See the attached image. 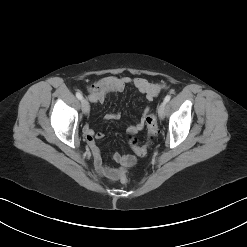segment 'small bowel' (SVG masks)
Here are the masks:
<instances>
[{
    "mask_svg": "<svg viewBox=\"0 0 247 247\" xmlns=\"http://www.w3.org/2000/svg\"><path fill=\"white\" fill-rule=\"evenodd\" d=\"M128 85L135 87L146 97L147 100H152L162 89V85L151 83L141 77L131 78L128 76L118 77L110 75L94 82L88 87V99L95 104L102 103L107 95L123 92ZM148 112L149 109L146 107L143 110L141 120L137 124L128 127V132L130 134L138 132L144 128L145 117ZM105 118L107 120H117L120 118V114L109 113L105 116ZM83 133L86 136L90 147L96 171L101 176L111 181L117 180L119 176L118 170L112 169L103 163L101 150L96 144V140L102 139L104 134L102 132H95L89 125H85L83 127ZM112 158L114 161L122 164L123 166H131L136 162V158L134 156L122 153H114Z\"/></svg>",
    "mask_w": 247,
    "mask_h": 247,
    "instance_id": "c3829d8e",
    "label": "small bowel"
}]
</instances>
